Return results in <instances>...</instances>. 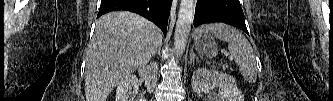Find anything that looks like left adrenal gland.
<instances>
[{
    "label": "left adrenal gland",
    "instance_id": "a2214340",
    "mask_svg": "<svg viewBox=\"0 0 333 101\" xmlns=\"http://www.w3.org/2000/svg\"><path fill=\"white\" fill-rule=\"evenodd\" d=\"M194 60H196V62L199 63V59L196 57L193 49H191V53H190V65H192V63H194Z\"/></svg>",
    "mask_w": 333,
    "mask_h": 101
}]
</instances>
